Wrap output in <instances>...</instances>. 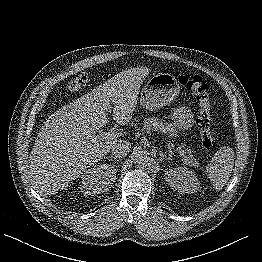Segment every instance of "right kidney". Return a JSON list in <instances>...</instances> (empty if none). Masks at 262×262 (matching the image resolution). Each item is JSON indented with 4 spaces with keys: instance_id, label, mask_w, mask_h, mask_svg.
Wrapping results in <instances>:
<instances>
[{
    "instance_id": "1",
    "label": "right kidney",
    "mask_w": 262,
    "mask_h": 262,
    "mask_svg": "<svg viewBox=\"0 0 262 262\" xmlns=\"http://www.w3.org/2000/svg\"><path fill=\"white\" fill-rule=\"evenodd\" d=\"M116 173L114 165H100L87 170L81 177L82 192L85 195H93L108 191L116 180Z\"/></svg>"
}]
</instances>
